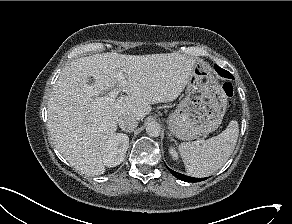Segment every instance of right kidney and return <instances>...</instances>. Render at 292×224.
Instances as JSON below:
<instances>
[{"label": "right kidney", "mask_w": 292, "mask_h": 224, "mask_svg": "<svg viewBox=\"0 0 292 224\" xmlns=\"http://www.w3.org/2000/svg\"><path fill=\"white\" fill-rule=\"evenodd\" d=\"M129 147V138L125 134H114L111 136L103 149L102 159L107 167H115L125 159Z\"/></svg>", "instance_id": "right-kidney-1"}]
</instances>
